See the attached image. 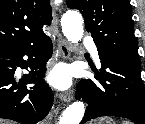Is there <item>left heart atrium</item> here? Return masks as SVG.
Returning a JSON list of instances; mask_svg holds the SVG:
<instances>
[{
  "instance_id": "39dd6f15",
  "label": "left heart atrium",
  "mask_w": 145,
  "mask_h": 124,
  "mask_svg": "<svg viewBox=\"0 0 145 124\" xmlns=\"http://www.w3.org/2000/svg\"><path fill=\"white\" fill-rule=\"evenodd\" d=\"M51 83L58 88H65L69 85L70 78L67 71L63 68H58L54 70L50 77Z\"/></svg>"
}]
</instances>
